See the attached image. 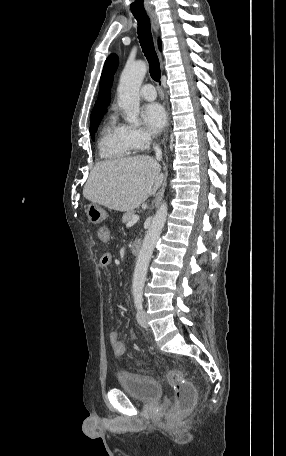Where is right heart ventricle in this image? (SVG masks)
<instances>
[{"mask_svg":"<svg viewBox=\"0 0 286 456\" xmlns=\"http://www.w3.org/2000/svg\"><path fill=\"white\" fill-rule=\"evenodd\" d=\"M99 154L108 160H122L129 157L135 150L128 139L124 126L109 121L102 129L99 140Z\"/></svg>","mask_w":286,"mask_h":456,"instance_id":"e07e8e85","label":"right heart ventricle"}]
</instances>
